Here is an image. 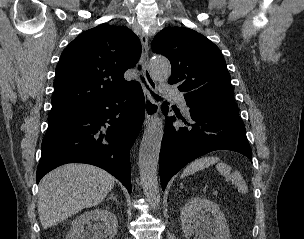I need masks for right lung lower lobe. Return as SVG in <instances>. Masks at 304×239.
Listing matches in <instances>:
<instances>
[{"instance_id": "obj_1", "label": "right lung lower lobe", "mask_w": 304, "mask_h": 239, "mask_svg": "<svg viewBox=\"0 0 304 239\" xmlns=\"http://www.w3.org/2000/svg\"><path fill=\"white\" fill-rule=\"evenodd\" d=\"M142 88H129L72 115L48 120L36 182L67 163H87L115 176L131 193L130 149L144 118Z\"/></svg>"}]
</instances>
